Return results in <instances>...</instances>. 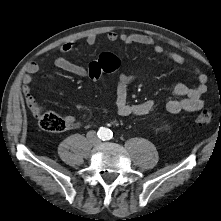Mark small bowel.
Returning a JSON list of instances; mask_svg holds the SVG:
<instances>
[{
    "instance_id": "small-bowel-1",
    "label": "small bowel",
    "mask_w": 221,
    "mask_h": 221,
    "mask_svg": "<svg viewBox=\"0 0 221 221\" xmlns=\"http://www.w3.org/2000/svg\"><path fill=\"white\" fill-rule=\"evenodd\" d=\"M109 42L122 41L126 44H138L149 46L157 54L166 56L171 62L176 65L183 66L186 64L185 59L182 55L174 51H168L164 49L160 44L156 43L150 36L144 34H122L119 35L115 31H110L106 35ZM97 42L96 35H89L86 38L88 45H94ZM75 46L73 41L65 42L60 52L62 54L70 52ZM55 66L65 72L73 74L82 78H90L89 65L83 66L74 63L64 56L56 57ZM26 74L23 77V95L25 97L26 104L33 112V108L36 104L35 99L32 95L30 84L32 83V75L39 72V65L35 62H29L26 65ZM194 73L197 76L198 84L196 86H188L180 83L174 87L173 94L175 99L170 100L166 104V109L173 114L180 112H195L200 110L204 106L202 95L207 91L208 78L205 74L194 69ZM133 75L122 74L119 77L116 87V108L119 115L124 117L129 116H143L151 112L155 106L153 100H145L140 103L132 104L128 101V87L130 83L135 80ZM64 119L68 124V128L77 126V122L71 115H65Z\"/></svg>"
}]
</instances>
